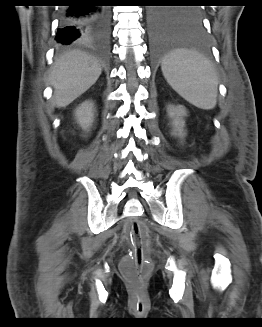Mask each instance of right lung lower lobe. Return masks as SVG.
I'll list each match as a JSON object with an SVG mask.
<instances>
[{"label": "right lung lower lobe", "instance_id": "1", "mask_svg": "<svg viewBox=\"0 0 262 327\" xmlns=\"http://www.w3.org/2000/svg\"><path fill=\"white\" fill-rule=\"evenodd\" d=\"M70 2V0H68ZM71 6L61 9L60 25L56 40L61 45L88 44L106 48L110 36V13L108 9L93 6L91 0H71Z\"/></svg>", "mask_w": 262, "mask_h": 327}]
</instances>
